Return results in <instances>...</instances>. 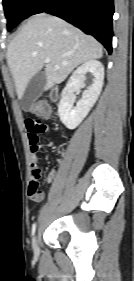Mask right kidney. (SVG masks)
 Wrapping results in <instances>:
<instances>
[{
    "mask_svg": "<svg viewBox=\"0 0 134 281\" xmlns=\"http://www.w3.org/2000/svg\"><path fill=\"white\" fill-rule=\"evenodd\" d=\"M88 72L92 73L94 77L93 83L83 91L82 98L74 107V92L85 87V74ZM103 80L104 67L97 60L86 61L72 73L62 90L58 105L60 120L68 129H75L87 116L101 93Z\"/></svg>",
    "mask_w": 134,
    "mask_h": 281,
    "instance_id": "obj_1",
    "label": "right kidney"
}]
</instances>
